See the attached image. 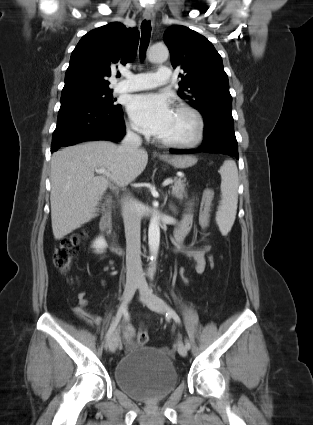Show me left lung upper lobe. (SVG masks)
Masks as SVG:
<instances>
[{
	"label": "left lung upper lobe",
	"mask_w": 313,
	"mask_h": 425,
	"mask_svg": "<svg viewBox=\"0 0 313 425\" xmlns=\"http://www.w3.org/2000/svg\"><path fill=\"white\" fill-rule=\"evenodd\" d=\"M174 68L184 74L179 83V96L200 111L204 119L232 117V97L222 58L212 43L186 26L175 25L164 33Z\"/></svg>",
	"instance_id": "left-lung-upper-lobe-1"
}]
</instances>
